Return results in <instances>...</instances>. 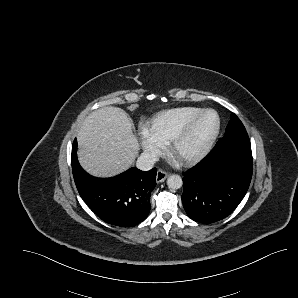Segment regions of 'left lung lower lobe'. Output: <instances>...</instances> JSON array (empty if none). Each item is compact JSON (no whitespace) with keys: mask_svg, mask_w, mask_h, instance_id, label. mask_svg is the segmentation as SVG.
Masks as SVG:
<instances>
[{"mask_svg":"<svg viewBox=\"0 0 298 298\" xmlns=\"http://www.w3.org/2000/svg\"><path fill=\"white\" fill-rule=\"evenodd\" d=\"M252 172L246 130L225 133L201 162L183 173L182 203L187 215L203 224L226 218L245 196Z\"/></svg>","mask_w":298,"mask_h":298,"instance_id":"1","label":"left lung lower lobe"}]
</instances>
